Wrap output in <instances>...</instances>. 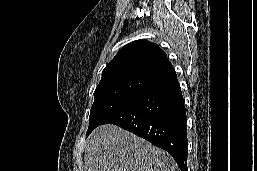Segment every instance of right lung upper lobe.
Returning a JSON list of instances; mask_svg holds the SVG:
<instances>
[{
	"instance_id": "1",
	"label": "right lung upper lobe",
	"mask_w": 257,
	"mask_h": 171,
	"mask_svg": "<svg viewBox=\"0 0 257 171\" xmlns=\"http://www.w3.org/2000/svg\"><path fill=\"white\" fill-rule=\"evenodd\" d=\"M174 74L166 53L157 44L141 39L119 50L104 68L97 88L112 85L150 88Z\"/></svg>"
}]
</instances>
